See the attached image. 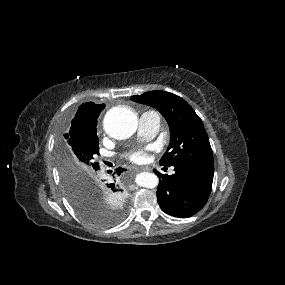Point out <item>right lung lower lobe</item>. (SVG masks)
I'll return each mask as SVG.
<instances>
[{
	"label": "right lung lower lobe",
	"instance_id": "obj_1",
	"mask_svg": "<svg viewBox=\"0 0 285 285\" xmlns=\"http://www.w3.org/2000/svg\"><path fill=\"white\" fill-rule=\"evenodd\" d=\"M123 171H124V169L118 168L117 174L120 175ZM104 185L106 188L110 189L113 193L121 191V189L118 188L116 181L113 179L109 180L108 182H104Z\"/></svg>",
	"mask_w": 285,
	"mask_h": 285
}]
</instances>
